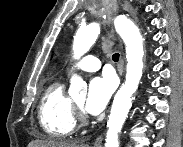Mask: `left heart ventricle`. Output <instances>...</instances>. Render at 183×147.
Here are the masks:
<instances>
[{
    "instance_id": "left-heart-ventricle-1",
    "label": "left heart ventricle",
    "mask_w": 183,
    "mask_h": 147,
    "mask_svg": "<svg viewBox=\"0 0 183 147\" xmlns=\"http://www.w3.org/2000/svg\"><path fill=\"white\" fill-rule=\"evenodd\" d=\"M84 100H85L84 98H80V99L76 100V103H77L78 105L82 106L83 103H84Z\"/></svg>"
}]
</instances>
